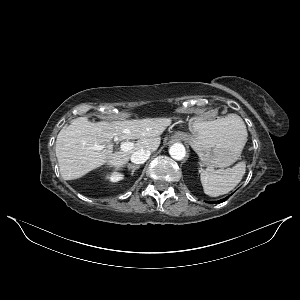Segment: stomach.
<instances>
[{
	"mask_svg": "<svg viewBox=\"0 0 300 300\" xmlns=\"http://www.w3.org/2000/svg\"><path fill=\"white\" fill-rule=\"evenodd\" d=\"M190 135L177 133L175 137L186 139L198 154L201 166L224 168L237 161L245 142L243 134L231 119L205 120L195 117L190 120Z\"/></svg>",
	"mask_w": 300,
	"mask_h": 300,
	"instance_id": "1",
	"label": "stomach"
}]
</instances>
